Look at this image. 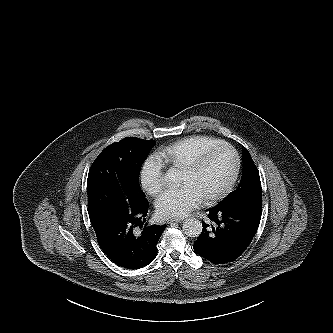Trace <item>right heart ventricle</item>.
I'll return each instance as SVG.
<instances>
[{
	"label": "right heart ventricle",
	"instance_id": "obj_1",
	"mask_svg": "<svg viewBox=\"0 0 333 333\" xmlns=\"http://www.w3.org/2000/svg\"><path fill=\"white\" fill-rule=\"evenodd\" d=\"M219 142H221L220 139L211 136H189L163 147L158 154L164 162L174 168L181 169L200 152Z\"/></svg>",
	"mask_w": 333,
	"mask_h": 333
}]
</instances>
